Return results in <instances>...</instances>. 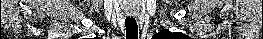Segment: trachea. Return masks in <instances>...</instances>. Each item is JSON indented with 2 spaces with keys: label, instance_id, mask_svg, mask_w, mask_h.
<instances>
[{
  "label": "trachea",
  "instance_id": "obj_1",
  "mask_svg": "<svg viewBox=\"0 0 263 39\" xmlns=\"http://www.w3.org/2000/svg\"><path fill=\"white\" fill-rule=\"evenodd\" d=\"M126 39H138V25L134 18H126Z\"/></svg>",
  "mask_w": 263,
  "mask_h": 39
}]
</instances>
